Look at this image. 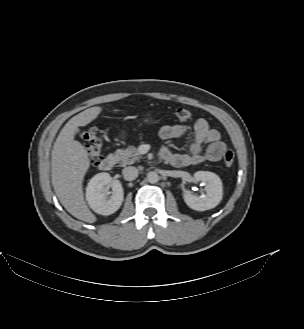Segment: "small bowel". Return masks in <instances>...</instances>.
I'll return each instance as SVG.
<instances>
[{"instance_id": "small-bowel-1", "label": "small bowel", "mask_w": 304, "mask_h": 329, "mask_svg": "<svg viewBox=\"0 0 304 329\" xmlns=\"http://www.w3.org/2000/svg\"><path fill=\"white\" fill-rule=\"evenodd\" d=\"M189 127L184 124L163 126L159 135L163 140L181 138L187 134ZM226 144L221 141L220 133L211 128L209 123L198 119L193 125V138L189 144V152H173L163 147L161 157L174 167H187L205 161L216 162L221 160Z\"/></svg>"}]
</instances>
